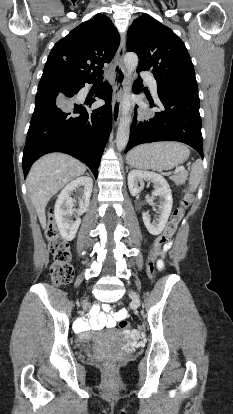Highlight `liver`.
Instances as JSON below:
<instances>
[{
	"label": "liver",
	"instance_id": "liver-1",
	"mask_svg": "<svg viewBox=\"0 0 233 414\" xmlns=\"http://www.w3.org/2000/svg\"><path fill=\"white\" fill-rule=\"evenodd\" d=\"M85 171L83 163L62 153L45 155L33 164L26 186L43 228L46 227L45 208L49 200Z\"/></svg>",
	"mask_w": 233,
	"mask_h": 414
}]
</instances>
